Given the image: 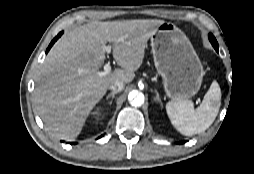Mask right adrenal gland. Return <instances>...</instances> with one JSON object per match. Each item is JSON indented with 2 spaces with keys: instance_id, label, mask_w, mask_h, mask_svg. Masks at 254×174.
Wrapping results in <instances>:
<instances>
[{
  "instance_id": "obj_1",
  "label": "right adrenal gland",
  "mask_w": 254,
  "mask_h": 174,
  "mask_svg": "<svg viewBox=\"0 0 254 174\" xmlns=\"http://www.w3.org/2000/svg\"><path fill=\"white\" fill-rule=\"evenodd\" d=\"M117 93H118V92H112V93L108 94V95L106 96V100H108L109 98L112 97V100L109 102L110 104H112V101H113V99H114V96H115V94H117Z\"/></svg>"
}]
</instances>
